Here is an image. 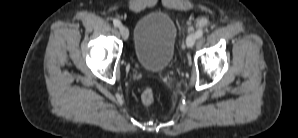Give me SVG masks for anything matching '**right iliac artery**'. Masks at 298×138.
Returning a JSON list of instances; mask_svg holds the SVG:
<instances>
[{
    "label": "right iliac artery",
    "mask_w": 298,
    "mask_h": 138,
    "mask_svg": "<svg viewBox=\"0 0 298 138\" xmlns=\"http://www.w3.org/2000/svg\"><path fill=\"white\" fill-rule=\"evenodd\" d=\"M113 24H114L115 27H120L121 26V22L119 20H117V19H115L113 21Z\"/></svg>",
    "instance_id": "1"
}]
</instances>
